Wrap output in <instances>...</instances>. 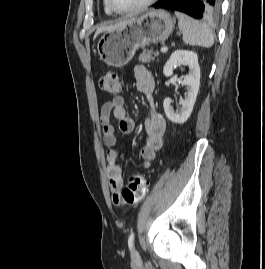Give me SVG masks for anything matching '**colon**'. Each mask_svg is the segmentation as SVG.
<instances>
[{"mask_svg":"<svg viewBox=\"0 0 265 269\" xmlns=\"http://www.w3.org/2000/svg\"><path fill=\"white\" fill-rule=\"evenodd\" d=\"M100 89L105 94L117 96L121 91L120 77L116 70H109L100 79ZM148 181L143 175H133L119 194V203L133 205L140 202L146 195Z\"/></svg>","mask_w":265,"mask_h":269,"instance_id":"1","label":"colon"}]
</instances>
